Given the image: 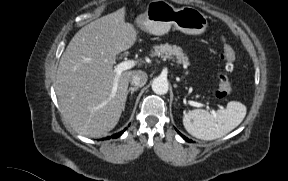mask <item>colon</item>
<instances>
[{
	"label": "colon",
	"instance_id": "colon-1",
	"mask_svg": "<svg viewBox=\"0 0 288 181\" xmlns=\"http://www.w3.org/2000/svg\"><path fill=\"white\" fill-rule=\"evenodd\" d=\"M222 58L224 60V71L226 73H231L235 67L236 55L233 48L228 43L224 44ZM226 73H222L218 77L219 87L216 96L220 99L228 97L233 90V84Z\"/></svg>",
	"mask_w": 288,
	"mask_h": 181
}]
</instances>
